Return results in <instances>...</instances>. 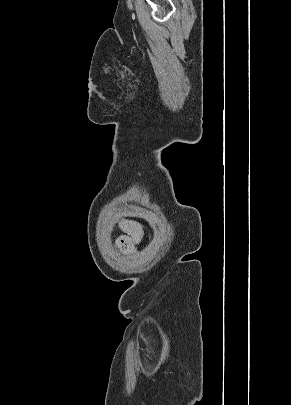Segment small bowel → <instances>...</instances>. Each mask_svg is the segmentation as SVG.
<instances>
[{"label":"small bowel","mask_w":291,"mask_h":405,"mask_svg":"<svg viewBox=\"0 0 291 405\" xmlns=\"http://www.w3.org/2000/svg\"><path fill=\"white\" fill-rule=\"evenodd\" d=\"M126 235L118 239V246L125 253H133L135 251L136 243L141 239L142 232L140 227L135 223H127L123 228Z\"/></svg>","instance_id":"c3829d8e"}]
</instances>
